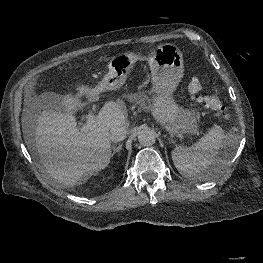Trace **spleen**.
I'll use <instances>...</instances> for the list:
<instances>
[{"label":"spleen","instance_id":"obj_1","mask_svg":"<svg viewBox=\"0 0 263 263\" xmlns=\"http://www.w3.org/2000/svg\"><path fill=\"white\" fill-rule=\"evenodd\" d=\"M239 139L234 134H226L223 129L215 125L191 147L176 146L172 151V160L177 170L187 178L209 179L221 174L230 165L233 152ZM224 148L221 157H217L221 148ZM214 166L210 174L204 172Z\"/></svg>","mask_w":263,"mask_h":263}]
</instances>
